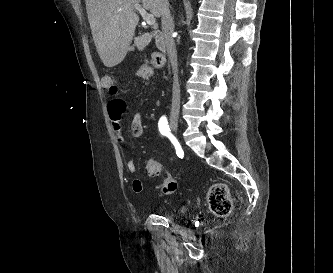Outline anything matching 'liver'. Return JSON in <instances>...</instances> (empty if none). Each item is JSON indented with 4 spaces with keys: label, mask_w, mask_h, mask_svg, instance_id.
Returning <instances> with one entry per match:
<instances>
[{
    "label": "liver",
    "mask_w": 333,
    "mask_h": 273,
    "mask_svg": "<svg viewBox=\"0 0 333 273\" xmlns=\"http://www.w3.org/2000/svg\"><path fill=\"white\" fill-rule=\"evenodd\" d=\"M140 3L155 17L161 16L159 0H86L93 40L106 67L125 58L139 21L135 5Z\"/></svg>",
    "instance_id": "obj_1"
}]
</instances>
